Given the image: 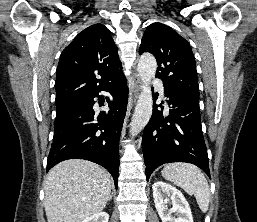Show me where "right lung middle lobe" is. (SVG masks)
Returning <instances> with one entry per match:
<instances>
[{"mask_svg": "<svg viewBox=\"0 0 257 222\" xmlns=\"http://www.w3.org/2000/svg\"><path fill=\"white\" fill-rule=\"evenodd\" d=\"M85 100H77L68 103L56 104V114L62 113L65 110L78 105H83Z\"/></svg>", "mask_w": 257, "mask_h": 222, "instance_id": "1", "label": "right lung middle lobe"}]
</instances>
